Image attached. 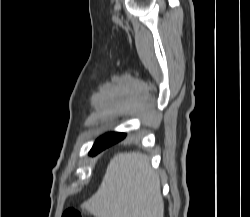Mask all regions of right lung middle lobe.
Instances as JSON below:
<instances>
[{
	"mask_svg": "<svg viewBox=\"0 0 250 217\" xmlns=\"http://www.w3.org/2000/svg\"><path fill=\"white\" fill-rule=\"evenodd\" d=\"M126 136L125 133H118V132H112V133H107L100 138L96 140L94 143L90 155L94 156L98 154L99 152L103 151L104 149L110 147L111 145L121 141L124 139Z\"/></svg>",
	"mask_w": 250,
	"mask_h": 217,
	"instance_id": "1",
	"label": "right lung middle lobe"
}]
</instances>
